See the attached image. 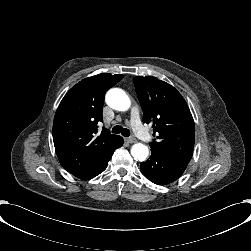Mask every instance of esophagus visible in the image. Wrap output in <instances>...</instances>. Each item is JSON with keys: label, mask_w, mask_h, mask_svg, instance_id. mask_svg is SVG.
<instances>
[{"label": "esophagus", "mask_w": 251, "mask_h": 251, "mask_svg": "<svg viewBox=\"0 0 251 251\" xmlns=\"http://www.w3.org/2000/svg\"><path fill=\"white\" fill-rule=\"evenodd\" d=\"M126 141L130 144L137 142L136 138H127Z\"/></svg>", "instance_id": "esophagus-1"}]
</instances>
